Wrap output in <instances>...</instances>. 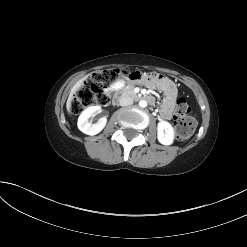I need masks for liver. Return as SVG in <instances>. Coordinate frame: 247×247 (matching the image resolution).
Listing matches in <instances>:
<instances>
[{
	"mask_svg": "<svg viewBox=\"0 0 247 247\" xmlns=\"http://www.w3.org/2000/svg\"><path fill=\"white\" fill-rule=\"evenodd\" d=\"M88 76L83 77L82 79H80L79 81H77L75 83V85L72 87L70 95L67 99V103H66V108L67 111L70 113V109H71V102L73 100V95L84 85V82L87 80Z\"/></svg>",
	"mask_w": 247,
	"mask_h": 247,
	"instance_id": "obj_1",
	"label": "liver"
}]
</instances>
